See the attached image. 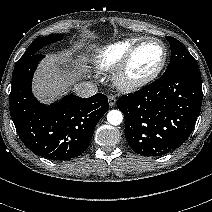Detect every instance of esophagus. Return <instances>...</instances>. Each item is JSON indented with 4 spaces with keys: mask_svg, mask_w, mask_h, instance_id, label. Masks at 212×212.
<instances>
[{
    "mask_svg": "<svg viewBox=\"0 0 212 212\" xmlns=\"http://www.w3.org/2000/svg\"><path fill=\"white\" fill-rule=\"evenodd\" d=\"M109 105L113 107L116 104V99L113 96L108 97Z\"/></svg>",
    "mask_w": 212,
    "mask_h": 212,
    "instance_id": "obj_1",
    "label": "esophagus"
}]
</instances>
